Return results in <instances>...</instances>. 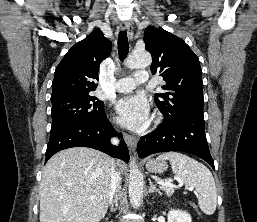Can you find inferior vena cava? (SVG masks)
Segmentation results:
<instances>
[{
	"label": "inferior vena cava",
	"instance_id": "602c4592",
	"mask_svg": "<svg viewBox=\"0 0 257 222\" xmlns=\"http://www.w3.org/2000/svg\"><path fill=\"white\" fill-rule=\"evenodd\" d=\"M111 142L115 145L119 143L117 138H113ZM110 181H111V187H110V193H109V203L113 206V203L115 202L116 199V193L120 187V173H118L115 170V164L114 161H111V169H110Z\"/></svg>",
	"mask_w": 257,
	"mask_h": 222
}]
</instances>
